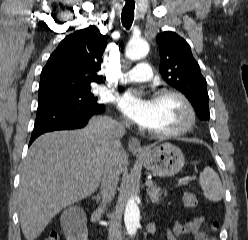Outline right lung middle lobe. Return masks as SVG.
<instances>
[{
    "mask_svg": "<svg viewBox=\"0 0 248 240\" xmlns=\"http://www.w3.org/2000/svg\"><path fill=\"white\" fill-rule=\"evenodd\" d=\"M96 101L97 98L93 97L89 89L86 91L68 95L39 97L38 105L63 104L76 107L93 108L100 105Z\"/></svg>",
    "mask_w": 248,
    "mask_h": 240,
    "instance_id": "obj_1",
    "label": "right lung middle lobe"
}]
</instances>
